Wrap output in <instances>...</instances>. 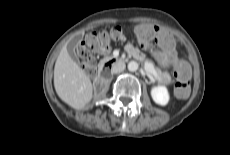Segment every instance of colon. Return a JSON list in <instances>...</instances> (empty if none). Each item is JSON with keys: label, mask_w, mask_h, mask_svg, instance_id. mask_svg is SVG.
<instances>
[{"label": "colon", "mask_w": 230, "mask_h": 155, "mask_svg": "<svg viewBox=\"0 0 230 155\" xmlns=\"http://www.w3.org/2000/svg\"><path fill=\"white\" fill-rule=\"evenodd\" d=\"M124 40L123 30L119 26L112 27L109 30H102L88 34L81 41L76 53L82 61L83 67L92 72L95 61L91 51L105 52L111 42H121ZM174 73L177 78L175 92L179 97H185L189 91V67L186 63L180 61L174 66Z\"/></svg>", "instance_id": "colon-1"}]
</instances>
